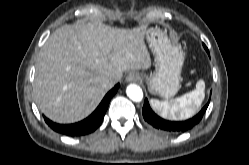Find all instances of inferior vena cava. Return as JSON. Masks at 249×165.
Returning a JSON list of instances; mask_svg holds the SVG:
<instances>
[{
  "label": "inferior vena cava",
  "instance_id": "602c4592",
  "mask_svg": "<svg viewBox=\"0 0 249 165\" xmlns=\"http://www.w3.org/2000/svg\"><path fill=\"white\" fill-rule=\"evenodd\" d=\"M116 79L112 78V77H106L103 79V86L106 87V88H111L115 85L116 83Z\"/></svg>",
  "mask_w": 249,
  "mask_h": 165
}]
</instances>
